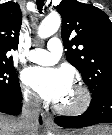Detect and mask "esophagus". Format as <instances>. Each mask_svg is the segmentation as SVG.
I'll return each instance as SVG.
<instances>
[{
	"label": "esophagus",
	"instance_id": "obj_1",
	"mask_svg": "<svg viewBox=\"0 0 112 135\" xmlns=\"http://www.w3.org/2000/svg\"><path fill=\"white\" fill-rule=\"evenodd\" d=\"M43 120L46 126L58 130V127L54 124L53 118L50 115L43 114Z\"/></svg>",
	"mask_w": 112,
	"mask_h": 135
}]
</instances>
